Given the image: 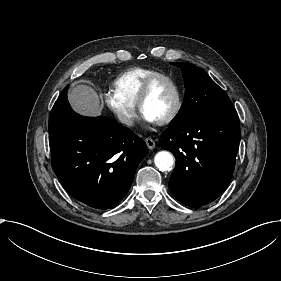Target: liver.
<instances>
[{
	"mask_svg": "<svg viewBox=\"0 0 281 281\" xmlns=\"http://www.w3.org/2000/svg\"><path fill=\"white\" fill-rule=\"evenodd\" d=\"M67 101L80 116L97 118L103 113L100 96L89 84L79 83L72 86L67 92Z\"/></svg>",
	"mask_w": 281,
	"mask_h": 281,
	"instance_id": "obj_1",
	"label": "liver"
}]
</instances>
